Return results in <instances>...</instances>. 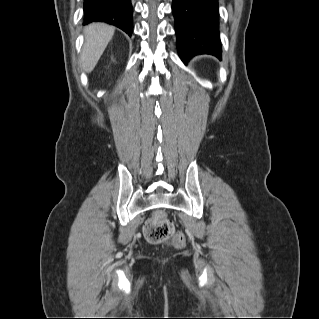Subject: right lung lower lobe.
<instances>
[{
  "label": "right lung lower lobe",
  "instance_id": "1",
  "mask_svg": "<svg viewBox=\"0 0 319 319\" xmlns=\"http://www.w3.org/2000/svg\"><path fill=\"white\" fill-rule=\"evenodd\" d=\"M132 14L131 0H84V24L105 22L119 27L131 36Z\"/></svg>",
  "mask_w": 319,
  "mask_h": 319
}]
</instances>
